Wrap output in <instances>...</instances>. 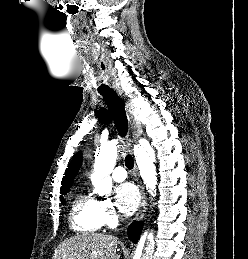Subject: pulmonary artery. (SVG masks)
Listing matches in <instances>:
<instances>
[{"label":"pulmonary artery","mask_w":248,"mask_h":259,"mask_svg":"<svg viewBox=\"0 0 248 259\" xmlns=\"http://www.w3.org/2000/svg\"><path fill=\"white\" fill-rule=\"evenodd\" d=\"M126 176V171L122 166H118L112 171V178L117 182L125 180Z\"/></svg>","instance_id":"e3ab8cb5"}]
</instances>
